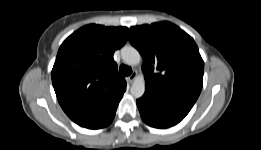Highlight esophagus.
Returning a JSON list of instances; mask_svg holds the SVG:
<instances>
[{"label": "esophagus", "mask_w": 261, "mask_h": 150, "mask_svg": "<svg viewBox=\"0 0 261 150\" xmlns=\"http://www.w3.org/2000/svg\"><path fill=\"white\" fill-rule=\"evenodd\" d=\"M137 77V72H133L129 77L128 80L132 83Z\"/></svg>", "instance_id": "1"}]
</instances>
